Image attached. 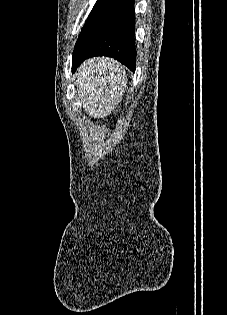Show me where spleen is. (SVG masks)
I'll list each match as a JSON object with an SVG mask.
<instances>
[{"instance_id": "3e777b00", "label": "spleen", "mask_w": 227, "mask_h": 315, "mask_svg": "<svg viewBox=\"0 0 227 315\" xmlns=\"http://www.w3.org/2000/svg\"><path fill=\"white\" fill-rule=\"evenodd\" d=\"M77 85L85 111L95 118L105 117L123 97L126 71L113 60H91L81 67Z\"/></svg>"}]
</instances>
